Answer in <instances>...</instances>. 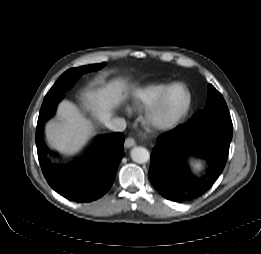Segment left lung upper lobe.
<instances>
[{
    "label": "left lung upper lobe",
    "instance_id": "obj_1",
    "mask_svg": "<svg viewBox=\"0 0 261 254\" xmlns=\"http://www.w3.org/2000/svg\"><path fill=\"white\" fill-rule=\"evenodd\" d=\"M206 120L231 122L224 98L211 84L208 86V100L204 110L190 119L193 124Z\"/></svg>",
    "mask_w": 261,
    "mask_h": 254
}]
</instances>
